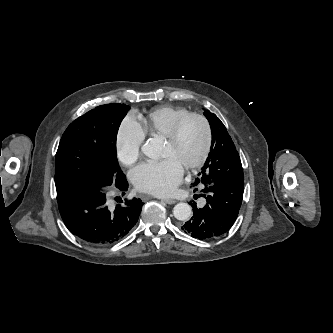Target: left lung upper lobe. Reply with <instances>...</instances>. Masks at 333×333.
Wrapping results in <instances>:
<instances>
[{
    "label": "left lung upper lobe",
    "mask_w": 333,
    "mask_h": 333,
    "mask_svg": "<svg viewBox=\"0 0 333 333\" xmlns=\"http://www.w3.org/2000/svg\"><path fill=\"white\" fill-rule=\"evenodd\" d=\"M212 131L209 156L197 180L213 184L243 183L244 175L236 147L220 119L209 110L204 112Z\"/></svg>",
    "instance_id": "5c2ea615"
}]
</instances>
